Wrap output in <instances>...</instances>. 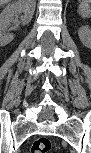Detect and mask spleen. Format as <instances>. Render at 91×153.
I'll list each match as a JSON object with an SVG mask.
<instances>
[{"label": "spleen", "instance_id": "3e777b00", "mask_svg": "<svg viewBox=\"0 0 91 153\" xmlns=\"http://www.w3.org/2000/svg\"><path fill=\"white\" fill-rule=\"evenodd\" d=\"M78 12L84 18L89 17L90 15L89 0H82L80 2L79 7H78Z\"/></svg>", "mask_w": 91, "mask_h": 153}]
</instances>
